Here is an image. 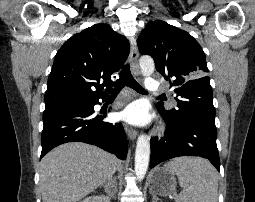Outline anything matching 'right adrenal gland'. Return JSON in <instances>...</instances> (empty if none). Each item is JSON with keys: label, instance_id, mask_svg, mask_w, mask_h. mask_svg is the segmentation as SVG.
<instances>
[{"label": "right adrenal gland", "instance_id": "1", "mask_svg": "<svg viewBox=\"0 0 255 202\" xmlns=\"http://www.w3.org/2000/svg\"><path fill=\"white\" fill-rule=\"evenodd\" d=\"M112 181L114 182V185H115V191H117V183H116V179H115V178H113V179H112ZM102 187H104V188H105V185L100 186V188H102ZM105 192L107 193L106 189H105ZM107 194H108V193H107ZM108 196H109V197H111V195H110V194H108Z\"/></svg>", "mask_w": 255, "mask_h": 202}]
</instances>
